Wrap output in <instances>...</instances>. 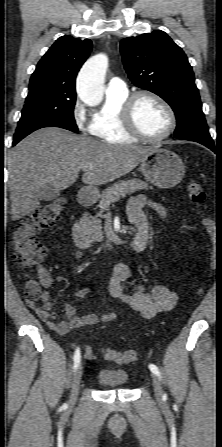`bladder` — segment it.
Returning <instances> with one entry per match:
<instances>
[{
	"mask_svg": "<svg viewBox=\"0 0 222 447\" xmlns=\"http://www.w3.org/2000/svg\"><path fill=\"white\" fill-rule=\"evenodd\" d=\"M96 380L106 389L122 388L128 383V374L124 370H100Z\"/></svg>",
	"mask_w": 222,
	"mask_h": 447,
	"instance_id": "1",
	"label": "bladder"
}]
</instances>
